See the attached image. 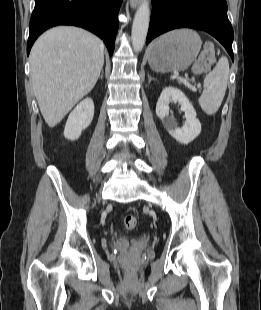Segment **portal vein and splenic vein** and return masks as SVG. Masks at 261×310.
Listing matches in <instances>:
<instances>
[{"label":"portal vein and splenic vein","mask_w":261,"mask_h":310,"mask_svg":"<svg viewBox=\"0 0 261 310\" xmlns=\"http://www.w3.org/2000/svg\"><path fill=\"white\" fill-rule=\"evenodd\" d=\"M178 77H179V74H178L177 72H175V73L173 74V76H172V78H178ZM185 84L188 85L189 88L192 89L194 92H197V91H198L197 88H195L194 86L189 85V83H188L187 81H185Z\"/></svg>","instance_id":"portal-vein-and-splenic-vein-1"}]
</instances>
